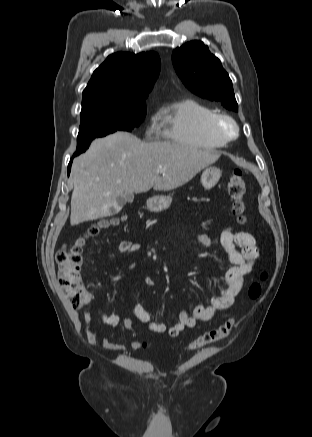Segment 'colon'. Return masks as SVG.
<instances>
[{"label":"colon","instance_id":"colon-1","mask_svg":"<svg viewBox=\"0 0 312 437\" xmlns=\"http://www.w3.org/2000/svg\"><path fill=\"white\" fill-rule=\"evenodd\" d=\"M228 193L232 201V210L239 222L246 219L247 206L244 201L245 180L243 172L236 169L231 175L228 183ZM102 221L89 228L86 235L76 238L72 242L64 245L56 254L58 264V278L61 289L63 290L69 304L75 309H79L89 301V293L86 290L81 277L82 249L86 239L97 235L101 229L114 223ZM267 273H262L260 281L250 285L248 295L255 300L262 293V282L267 279ZM233 320L229 319L216 329L210 330L198 337L189 345L190 350H197L206 345L216 343L229 336L233 328Z\"/></svg>","mask_w":312,"mask_h":437}]
</instances>
